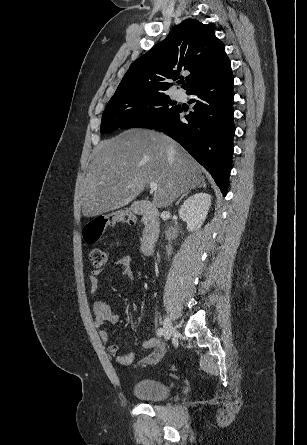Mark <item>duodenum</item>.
Here are the masks:
<instances>
[{"label":"duodenum","mask_w":307,"mask_h":445,"mask_svg":"<svg viewBox=\"0 0 307 445\" xmlns=\"http://www.w3.org/2000/svg\"><path fill=\"white\" fill-rule=\"evenodd\" d=\"M132 211L144 219L145 227L140 243V250L143 254L148 255L152 252L160 234L159 212L157 208L148 201L135 202L132 206Z\"/></svg>","instance_id":"410a0bca"}]
</instances>
